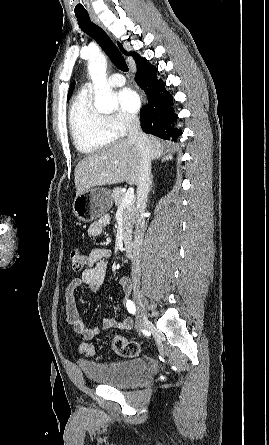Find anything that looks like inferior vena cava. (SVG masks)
Segmentation results:
<instances>
[{
    "mask_svg": "<svg viewBox=\"0 0 269 445\" xmlns=\"http://www.w3.org/2000/svg\"><path fill=\"white\" fill-rule=\"evenodd\" d=\"M128 140L135 142L139 148L141 162H140V178L137 184V202L138 212L136 220V229L134 232L133 241V256H132V279H139L140 275V261L143 253V237L145 221L143 213L146 208V201L151 185V155L147 143V137L142 132L140 121L136 116H130L127 119Z\"/></svg>",
    "mask_w": 269,
    "mask_h": 445,
    "instance_id": "inferior-vena-cava-1",
    "label": "inferior vena cava"
}]
</instances>
